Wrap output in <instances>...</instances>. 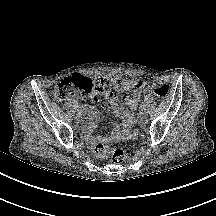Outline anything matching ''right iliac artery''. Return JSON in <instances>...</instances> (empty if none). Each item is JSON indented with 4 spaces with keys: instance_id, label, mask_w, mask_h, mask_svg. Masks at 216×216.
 <instances>
[{
    "instance_id": "82829eb1",
    "label": "right iliac artery",
    "mask_w": 216,
    "mask_h": 216,
    "mask_svg": "<svg viewBox=\"0 0 216 216\" xmlns=\"http://www.w3.org/2000/svg\"><path fill=\"white\" fill-rule=\"evenodd\" d=\"M77 113H82V108H77Z\"/></svg>"
}]
</instances>
